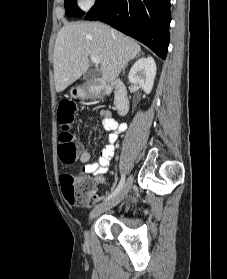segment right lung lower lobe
I'll list each match as a JSON object with an SVG mask.
<instances>
[{
    "label": "right lung lower lobe",
    "mask_w": 227,
    "mask_h": 279,
    "mask_svg": "<svg viewBox=\"0 0 227 279\" xmlns=\"http://www.w3.org/2000/svg\"><path fill=\"white\" fill-rule=\"evenodd\" d=\"M85 19L105 22L166 58L170 0H96Z\"/></svg>",
    "instance_id": "obj_1"
}]
</instances>
